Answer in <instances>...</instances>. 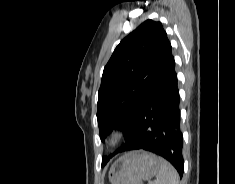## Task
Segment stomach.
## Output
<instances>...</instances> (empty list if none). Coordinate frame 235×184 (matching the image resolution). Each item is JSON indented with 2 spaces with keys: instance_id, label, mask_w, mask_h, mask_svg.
<instances>
[{
  "instance_id": "stomach-1",
  "label": "stomach",
  "mask_w": 235,
  "mask_h": 184,
  "mask_svg": "<svg viewBox=\"0 0 235 184\" xmlns=\"http://www.w3.org/2000/svg\"><path fill=\"white\" fill-rule=\"evenodd\" d=\"M159 158L151 152L134 150L128 152L112 164L109 170L111 184H142V180H149L159 170Z\"/></svg>"
}]
</instances>
